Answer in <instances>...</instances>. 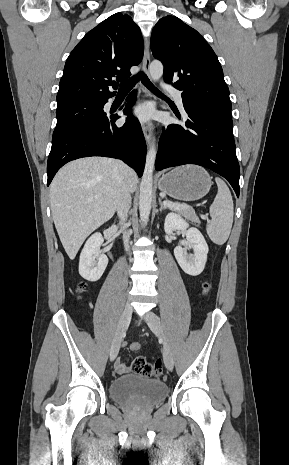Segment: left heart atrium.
I'll list each match as a JSON object with an SVG mask.
<instances>
[{
    "mask_svg": "<svg viewBox=\"0 0 289 465\" xmlns=\"http://www.w3.org/2000/svg\"><path fill=\"white\" fill-rule=\"evenodd\" d=\"M132 115L141 121H146L151 116V109L148 106H138L133 109Z\"/></svg>",
    "mask_w": 289,
    "mask_h": 465,
    "instance_id": "obj_1",
    "label": "left heart atrium"
}]
</instances>
